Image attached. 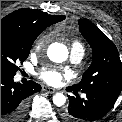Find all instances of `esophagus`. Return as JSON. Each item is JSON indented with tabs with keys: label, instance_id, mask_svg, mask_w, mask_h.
Listing matches in <instances>:
<instances>
[{
	"label": "esophagus",
	"instance_id": "obj_1",
	"mask_svg": "<svg viewBox=\"0 0 122 122\" xmlns=\"http://www.w3.org/2000/svg\"><path fill=\"white\" fill-rule=\"evenodd\" d=\"M42 90H43L44 92L51 93V94H53V93L56 92V89L51 88V87H48V86H44V87L42 88Z\"/></svg>",
	"mask_w": 122,
	"mask_h": 122
}]
</instances>
